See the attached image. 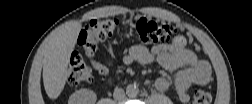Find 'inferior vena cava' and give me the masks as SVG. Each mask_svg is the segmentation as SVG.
Masks as SVG:
<instances>
[{"label": "inferior vena cava", "instance_id": "602c4592", "mask_svg": "<svg viewBox=\"0 0 252 104\" xmlns=\"http://www.w3.org/2000/svg\"><path fill=\"white\" fill-rule=\"evenodd\" d=\"M113 97L115 100L121 101L125 98V92L121 88H115Z\"/></svg>", "mask_w": 252, "mask_h": 104}]
</instances>
